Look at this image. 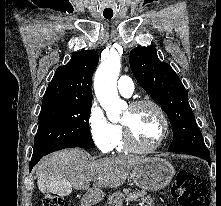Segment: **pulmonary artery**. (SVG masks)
<instances>
[{
  "label": "pulmonary artery",
  "instance_id": "pulmonary-artery-1",
  "mask_svg": "<svg viewBox=\"0 0 221 206\" xmlns=\"http://www.w3.org/2000/svg\"><path fill=\"white\" fill-rule=\"evenodd\" d=\"M134 85L131 78L121 76L118 81V92L124 97H130L133 94Z\"/></svg>",
  "mask_w": 221,
  "mask_h": 206
}]
</instances>
